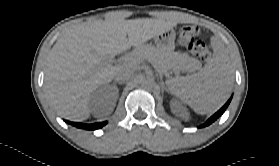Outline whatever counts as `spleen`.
I'll use <instances>...</instances> for the list:
<instances>
[{
    "label": "spleen",
    "instance_id": "1",
    "mask_svg": "<svg viewBox=\"0 0 279 166\" xmlns=\"http://www.w3.org/2000/svg\"><path fill=\"white\" fill-rule=\"evenodd\" d=\"M213 57L196 74L177 76L166 81L168 91L199 114L222 106L229 97L233 69L228 53L217 39L212 40Z\"/></svg>",
    "mask_w": 279,
    "mask_h": 166
}]
</instances>
